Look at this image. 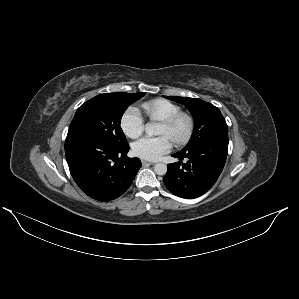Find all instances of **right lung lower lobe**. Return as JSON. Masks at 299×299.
Returning a JSON list of instances; mask_svg holds the SVG:
<instances>
[{
  "instance_id": "98d812e1",
  "label": "right lung lower lobe",
  "mask_w": 299,
  "mask_h": 299,
  "mask_svg": "<svg viewBox=\"0 0 299 299\" xmlns=\"http://www.w3.org/2000/svg\"><path fill=\"white\" fill-rule=\"evenodd\" d=\"M127 144L115 145L97 136L66 138L65 154L71 175L80 189L98 201L122 195L141 167L138 158H127Z\"/></svg>"
}]
</instances>
